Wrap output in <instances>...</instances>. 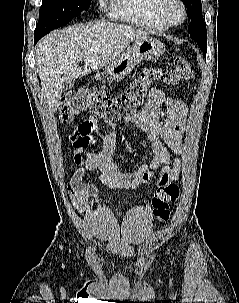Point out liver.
<instances>
[{"label": "liver", "instance_id": "1", "mask_svg": "<svg viewBox=\"0 0 239 303\" xmlns=\"http://www.w3.org/2000/svg\"><path fill=\"white\" fill-rule=\"evenodd\" d=\"M147 32L118 23L74 25L45 36L36 49V69L49 110L61 101L63 84L113 63L133 41ZM84 60V68L79 66Z\"/></svg>", "mask_w": 239, "mask_h": 303}]
</instances>
